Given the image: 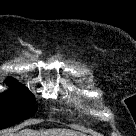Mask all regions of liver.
<instances>
[{
  "mask_svg": "<svg viewBox=\"0 0 136 136\" xmlns=\"http://www.w3.org/2000/svg\"><path fill=\"white\" fill-rule=\"evenodd\" d=\"M6 136H13V134L9 133ZM18 136H84V135L82 133H78L67 129H53L47 131L23 130L18 134Z\"/></svg>",
  "mask_w": 136,
  "mask_h": 136,
  "instance_id": "obj_1",
  "label": "liver"
}]
</instances>
